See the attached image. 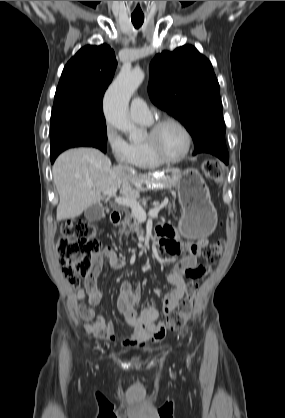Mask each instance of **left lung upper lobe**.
<instances>
[{
    "label": "left lung upper lobe",
    "mask_w": 285,
    "mask_h": 418,
    "mask_svg": "<svg viewBox=\"0 0 285 418\" xmlns=\"http://www.w3.org/2000/svg\"><path fill=\"white\" fill-rule=\"evenodd\" d=\"M151 101L191 134L194 154L211 153L228 163L218 80L211 62L192 45L157 54L150 64Z\"/></svg>",
    "instance_id": "5c2ea615"
}]
</instances>
